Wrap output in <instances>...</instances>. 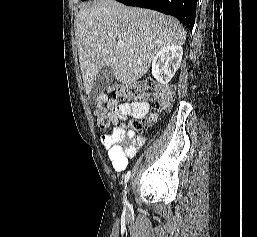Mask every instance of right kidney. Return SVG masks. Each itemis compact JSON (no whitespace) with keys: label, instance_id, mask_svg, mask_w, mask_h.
<instances>
[{"label":"right kidney","instance_id":"obj_1","mask_svg":"<svg viewBox=\"0 0 257 237\" xmlns=\"http://www.w3.org/2000/svg\"><path fill=\"white\" fill-rule=\"evenodd\" d=\"M183 55L180 45H167L152 59V75L160 84H167L178 70Z\"/></svg>","mask_w":257,"mask_h":237}]
</instances>
